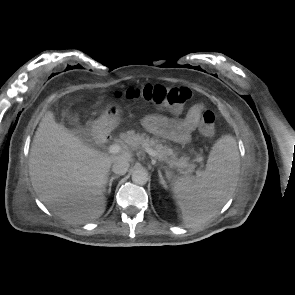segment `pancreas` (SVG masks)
<instances>
[{
  "mask_svg": "<svg viewBox=\"0 0 295 295\" xmlns=\"http://www.w3.org/2000/svg\"><path fill=\"white\" fill-rule=\"evenodd\" d=\"M123 140L132 146L149 147L153 149L158 154L160 160L170 161L172 167H179L188 172L193 171L195 168V164L190 162L187 158L181 157L178 159L171 148L162 145L158 140L149 138L145 134L135 133L131 130L124 134Z\"/></svg>",
  "mask_w": 295,
  "mask_h": 295,
  "instance_id": "cf45deb5",
  "label": "pancreas"
}]
</instances>
